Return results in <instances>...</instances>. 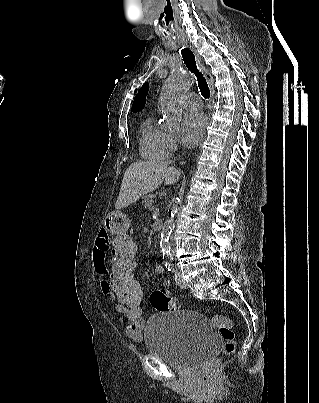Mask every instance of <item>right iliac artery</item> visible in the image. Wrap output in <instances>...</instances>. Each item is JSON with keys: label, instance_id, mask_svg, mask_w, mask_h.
I'll list each match as a JSON object with an SVG mask.
<instances>
[{"label": "right iliac artery", "instance_id": "obj_1", "mask_svg": "<svg viewBox=\"0 0 319 403\" xmlns=\"http://www.w3.org/2000/svg\"><path fill=\"white\" fill-rule=\"evenodd\" d=\"M165 267L167 268L168 271H171L173 269V264L172 263H167L165 264Z\"/></svg>", "mask_w": 319, "mask_h": 403}]
</instances>
